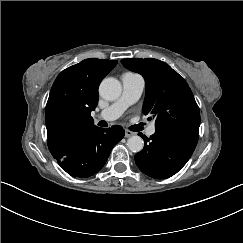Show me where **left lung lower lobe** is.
I'll list each match as a JSON object with an SVG mask.
<instances>
[{"label":"left lung lower lobe","mask_w":243,"mask_h":243,"mask_svg":"<svg viewBox=\"0 0 243 243\" xmlns=\"http://www.w3.org/2000/svg\"><path fill=\"white\" fill-rule=\"evenodd\" d=\"M145 140L142 151L135 155L138 168L146 175L155 179L173 176L191 157L199 134L180 129L156 130L150 139Z\"/></svg>","instance_id":"1"}]
</instances>
